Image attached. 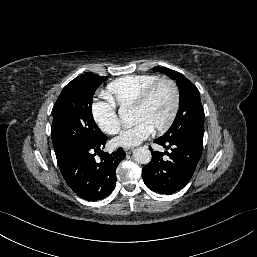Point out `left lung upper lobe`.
<instances>
[{
  "instance_id": "left-lung-upper-lobe-1",
  "label": "left lung upper lobe",
  "mask_w": 257,
  "mask_h": 257,
  "mask_svg": "<svg viewBox=\"0 0 257 257\" xmlns=\"http://www.w3.org/2000/svg\"><path fill=\"white\" fill-rule=\"evenodd\" d=\"M154 70L176 80L180 92L179 110L176 118L169 130L160 138L170 140L192 137L203 140L205 115L197 87L184 75L174 70L164 67H156Z\"/></svg>"
}]
</instances>
